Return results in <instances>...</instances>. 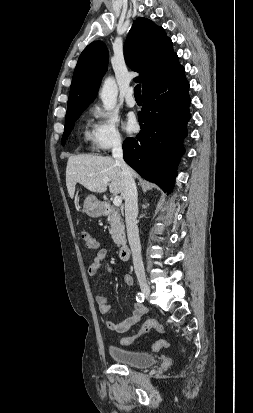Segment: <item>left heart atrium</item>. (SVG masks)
I'll use <instances>...</instances> for the list:
<instances>
[{
	"label": "left heart atrium",
	"instance_id": "39dd6f15",
	"mask_svg": "<svg viewBox=\"0 0 253 413\" xmlns=\"http://www.w3.org/2000/svg\"><path fill=\"white\" fill-rule=\"evenodd\" d=\"M123 126H124V129H125L128 133L134 132V131L137 129V127H138V124H137V120H136L135 115L132 114V113L128 114L127 117H126V120H125V122H124V124H123Z\"/></svg>",
	"mask_w": 253,
	"mask_h": 413
}]
</instances>
